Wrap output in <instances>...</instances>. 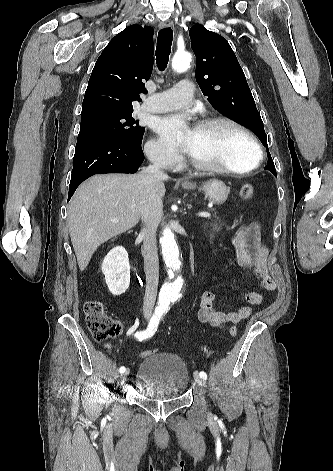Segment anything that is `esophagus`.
Here are the masks:
<instances>
[{
	"label": "esophagus",
	"instance_id": "1",
	"mask_svg": "<svg viewBox=\"0 0 333 471\" xmlns=\"http://www.w3.org/2000/svg\"><path fill=\"white\" fill-rule=\"evenodd\" d=\"M160 27H161V28H168V27L173 28L174 25H173V23H172L171 20L165 19V20H162V21H161Z\"/></svg>",
	"mask_w": 333,
	"mask_h": 471
}]
</instances>
